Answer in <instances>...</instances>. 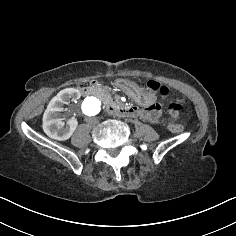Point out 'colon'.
I'll return each mask as SVG.
<instances>
[{
    "mask_svg": "<svg viewBox=\"0 0 236 236\" xmlns=\"http://www.w3.org/2000/svg\"><path fill=\"white\" fill-rule=\"evenodd\" d=\"M147 85L150 89L158 92L164 97H167L169 95V89L156 81H149ZM80 86H87V83H82ZM168 112L170 115V121L168 124L169 129L173 132L182 131V126L177 122L182 113L181 104L176 102H170L168 105Z\"/></svg>",
    "mask_w": 236,
    "mask_h": 236,
    "instance_id": "5ec220e1",
    "label": "colon"
}]
</instances>
